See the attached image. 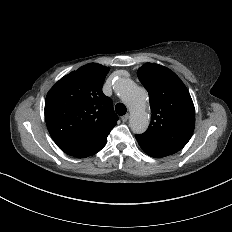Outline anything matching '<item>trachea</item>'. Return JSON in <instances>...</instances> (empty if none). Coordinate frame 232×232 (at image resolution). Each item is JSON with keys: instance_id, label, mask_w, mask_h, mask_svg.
<instances>
[{"instance_id": "3493384b", "label": "trachea", "mask_w": 232, "mask_h": 232, "mask_svg": "<svg viewBox=\"0 0 232 232\" xmlns=\"http://www.w3.org/2000/svg\"><path fill=\"white\" fill-rule=\"evenodd\" d=\"M115 111L118 115L122 116L127 112V109L123 103H117L115 106Z\"/></svg>"}]
</instances>
